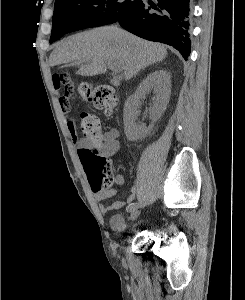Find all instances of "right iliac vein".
<instances>
[{"mask_svg":"<svg viewBox=\"0 0 245 300\" xmlns=\"http://www.w3.org/2000/svg\"><path fill=\"white\" fill-rule=\"evenodd\" d=\"M146 203L143 204H138L132 211L130 214V220H135L139 215H140V208L145 206Z\"/></svg>","mask_w":245,"mask_h":300,"instance_id":"63e3f726","label":"right iliac vein"}]
</instances>
